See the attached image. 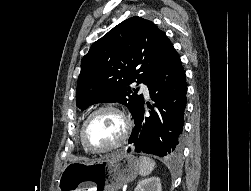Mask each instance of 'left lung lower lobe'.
<instances>
[{
    "instance_id": "0a47b994",
    "label": "left lung lower lobe",
    "mask_w": 251,
    "mask_h": 191,
    "mask_svg": "<svg viewBox=\"0 0 251 191\" xmlns=\"http://www.w3.org/2000/svg\"><path fill=\"white\" fill-rule=\"evenodd\" d=\"M151 100L150 116H145L144 100L134 119L128 152L177 156L181 150L187 83L180 57L173 48L147 85Z\"/></svg>"
}]
</instances>
